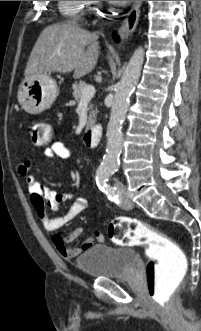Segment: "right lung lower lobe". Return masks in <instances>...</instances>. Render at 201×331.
<instances>
[{
  "instance_id": "right-lung-lower-lobe-1",
  "label": "right lung lower lobe",
  "mask_w": 201,
  "mask_h": 331,
  "mask_svg": "<svg viewBox=\"0 0 201 331\" xmlns=\"http://www.w3.org/2000/svg\"><path fill=\"white\" fill-rule=\"evenodd\" d=\"M114 40L117 41V37L114 35Z\"/></svg>"
}]
</instances>
